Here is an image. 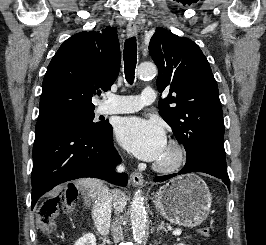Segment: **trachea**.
I'll return each mask as SVG.
<instances>
[{
	"label": "trachea",
	"instance_id": "obj_1",
	"mask_svg": "<svg viewBox=\"0 0 266 245\" xmlns=\"http://www.w3.org/2000/svg\"><path fill=\"white\" fill-rule=\"evenodd\" d=\"M137 63L136 39L129 38L124 45V73L128 83H133Z\"/></svg>",
	"mask_w": 266,
	"mask_h": 245
}]
</instances>
